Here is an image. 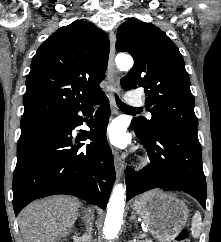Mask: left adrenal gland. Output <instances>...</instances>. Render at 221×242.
I'll list each match as a JSON object with an SVG mask.
<instances>
[{
    "label": "left adrenal gland",
    "mask_w": 221,
    "mask_h": 242,
    "mask_svg": "<svg viewBox=\"0 0 221 242\" xmlns=\"http://www.w3.org/2000/svg\"><path fill=\"white\" fill-rule=\"evenodd\" d=\"M133 221H135V224L137 223L134 213H132V216L130 217V222H133Z\"/></svg>",
    "instance_id": "obj_1"
}]
</instances>
